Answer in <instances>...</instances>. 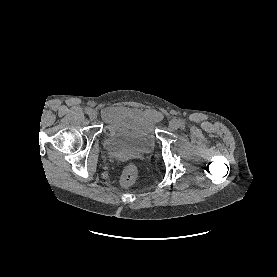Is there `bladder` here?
<instances>
[{
    "label": "bladder",
    "mask_w": 277,
    "mask_h": 277,
    "mask_svg": "<svg viewBox=\"0 0 277 277\" xmlns=\"http://www.w3.org/2000/svg\"><path fill=\"white\" fill-rule=\"evenodd\" d=\"M105 122V147L108 151L147 154L154 149L157 121L151 113L118 107L105 117Z\"/></svg>",
    "instance_id": "1"
}]
</instances>
